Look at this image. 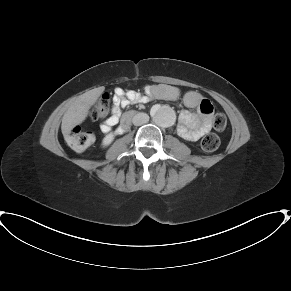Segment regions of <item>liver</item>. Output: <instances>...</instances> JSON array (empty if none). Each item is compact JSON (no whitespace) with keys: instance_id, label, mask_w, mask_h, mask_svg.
<instances>
[{"instance_id":"liver-1","label":"liver","mask_w":291,"mask_h":291,"mask_svg":"<svg viewBox=\"0 0 291 291\" xmlns=\"http://www.w3.org/2000/svg\"><path fill=\"white\" fill-rule=\"evenodd\" d=\"M104 87L92 89L80 95L68 108L62 118L61 130L63 135L70 134L71 130L81 124L88 116L90 108L98 100Z\"/></svg>"}]
</instances>
